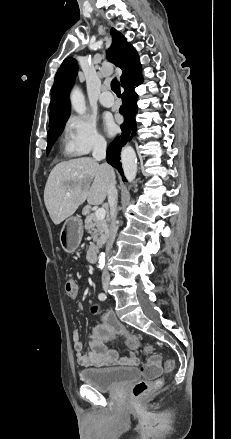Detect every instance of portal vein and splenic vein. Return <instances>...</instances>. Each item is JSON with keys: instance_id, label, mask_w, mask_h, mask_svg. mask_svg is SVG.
Masks as SVG:
<instances>
[{"instance_id": "1", "label": "portal vein and splenic vein", "mask_w": 231, "mask_h": 439, "mask_svg": "<svg viewBox=\"0 0 231 439\" xmlns=\"http://www.w3.org/2000/svg\"><path fill=\"white\" fill-rule=\"evenodd\" d=\"M68 194H69V193H68ZM105 215H106V211H105L104 208H99V209H97V210L95 211V218H96L97 220H104Z\"/></svg>"}]
</instances>
